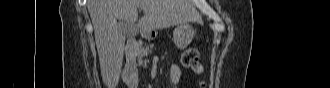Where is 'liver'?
<instances>
[{
    "mask_svg": "<svg viewBox=\"0 0 330 88\" xmlns=\"http://www.w3.org/2000/svg\"><path fill=\"white\" fill-rule=\"evenodd\" d=\"M138 8L144 16L138 20ZM88 11L94 27L101 75L108 88H116L123 64L126 36L118 21L135 24L146 34L188 22L201 16L189 0H89Z\"/></svg>",
    "mask_w": 330,
    "mask_h": 88,
    "instance_id": "1",
    "label": "liver"
}]
</instances>
